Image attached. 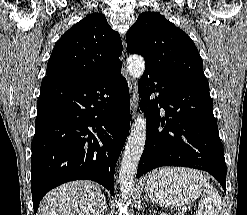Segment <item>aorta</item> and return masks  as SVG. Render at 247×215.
Here are the masks:
<instances>
[{"instance_id":"aorta-1","label":"aorta","mask_w":247,"mask_h":215,"mask_svg":"<svg viewBox=\"0 0 247 215\" xmlns=\"http://www.w3.org/2000/svg\"><path fill=\"white\" fill-rule=\"evenodd\" d=\"M127 69L133 78H140L145 70L142 56L131 55L127 59ZM146 141V119L139 113L131 126L119 171L120 190L123 198L133 194L134 177Z\"/></svg>"}]
</instances>
